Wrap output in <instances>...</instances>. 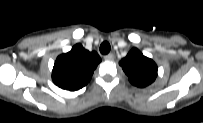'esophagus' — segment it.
<instances>
[{
  "label": "esophagus",
  "instance_id": "obj_1",
  "mask_svg": "<svg viewBox=\"0 0 203 123\" xmlns=\"http://www.w3.org/2000/svg\"><path fill=\"white\" fill-rule=\"evenodd\" d=\"M104 59L108 60V61L113 60L114 59V55L112 53H109V54L104 56Z\"/></svg>",
  "mask_w": 203,
  "mask_h": 123
}]
</instances>
